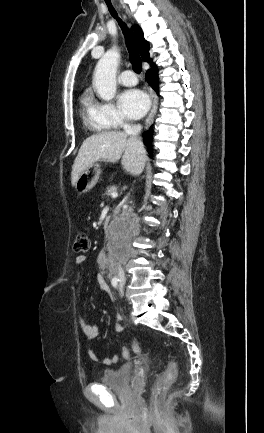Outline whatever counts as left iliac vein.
<instances>
[{
    "label": "left iliac vein",
    "instance_id": "4c4485c4",
    "mask_svg": "<svg viewBox=\"0 0 264 433\" xmlns=\"http://www.w3.org/2000/svg\"><path fill=\"white\" fill-rule=\"evenodd\" d=\"M124 283H125V280H121V281H120V288H119V291H120V294H121V295L123 294V286H124Z\"/></svg>",
    "mask_w": 264,
    "mask_h": 433
}]
</instances>
